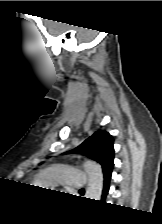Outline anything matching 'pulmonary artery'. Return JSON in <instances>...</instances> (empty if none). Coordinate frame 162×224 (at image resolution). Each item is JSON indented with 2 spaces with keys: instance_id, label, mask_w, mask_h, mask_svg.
I'll return each mask as SVG.
<instances>
[{
  "instance_id": "pulmonary-artery-1",
  "label": "pulmonary artery",
  "mask_w": 162,
  "mask_h": 224,
  "mask_svg": "<svg viewBox=\"0 0 162 224\" xmlns=\"http://www.w3.org/2000/svg\"><path fill=\"white\" fill-rule=\"evenodd\" d=\"M38 181L45 185H62L80 189L86 185L87 174L72 167L46 170L39 175Z\"/></svg>"
}]
</instances>
